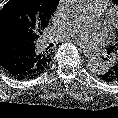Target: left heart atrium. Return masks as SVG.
<instances>
[{
	"label": "left heart atrium",
	"instance_id": "obj_1",
	"mask_svg": "<svg viewBox=\"0 0 118 118\" xmlns=\"http://www.w3.org/2000/svg\"><path fill=\"white\" fill-rule=\"evenodd\" d=\"M74 37L82 44L94 45L104 42L107 38V34L102 28L82 29L78 31Z\"/></svg>",
	"mask_w": 118,
	"mask_h": 118
}]
</instances>
